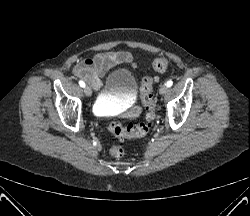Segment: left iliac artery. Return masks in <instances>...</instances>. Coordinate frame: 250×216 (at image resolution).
Segmentation results:
<instances>
[{
	"mask_svg": "<svg viewBox=\"0 0 250 216\" xmlns=\"http://www.w3.org/2000/svg\"><path fill=\"white\" fill-rule=\"evenodd\" d=\"M172 84H173V81H172V80H169V81H167L166 86H167V87H171Z\"/></svg>",
	"mask_w": 250,
	"mask_h": 216,
	"instance_id": "obj_1",
	"label": "left iliac artery"
}]
</instances>
